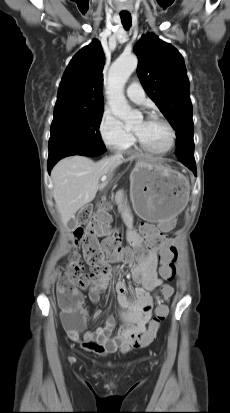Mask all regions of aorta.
<instances>
[{
	"instance_id": "1",
	"label": "aorta",
	"mask_w": 230,
	"mask_h": 413,
	"mask_svg": "<svg viewBox=\"0 0 230 413\" xmlns=\"http://www.w3.org/2000/svg\"><path fill=\"white\" fill-rule=\"evenodd\" d=\"M138 59L135 55H122L110 67L107 96L114 116L126 124H132L136 114L124 96V86L130 75L137 68Z\"/></svg>"
}]
</instances>
